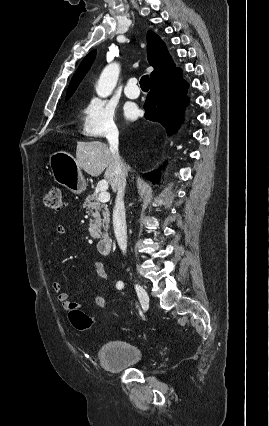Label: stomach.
I'll return each mask as SVG.
<instances>
[{"label": "stomach", "mask_w": 269, "mask_h": 426, "mask_svg": "<svg viewBox=\"0 0 269 426\" xmlns=\"http://www.w3.org/2000/svg\"><path fill=\"white\" fill-rule=\"evenodd\" d=\"M49 167L55 182L66 187L74 194L86 189V181L76 159L65 151H57L49 157Z\"/></svg>", "instance_id": "stomach-1"}]
</instances>
